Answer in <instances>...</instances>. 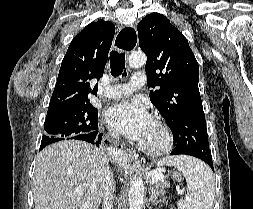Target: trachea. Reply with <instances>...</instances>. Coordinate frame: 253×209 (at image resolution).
Here are the masks:
<instances>
[{"instance_id": "obj_1", "label": "trachea", "mask_w": 253, "mask_h": 209, "mask_svg": "<svg viewBox=\"0 0 253 209\" xmlns=\"http://www.w3.org/2000/svg\"><path fill=\"white\" fill-rule=\"evenodd\" d=\"M110 68H111V75L116 77L118 75H126L125 69V53L117 52L113 50L110 53Z\"/></svg>"}]
</instances>
